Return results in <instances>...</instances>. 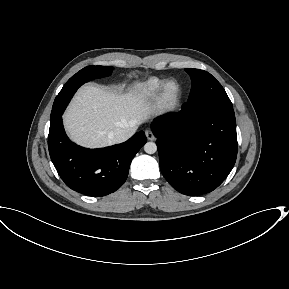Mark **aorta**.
Instances as JSON below:
<instances>
[{"label": "aorta", "instance_id": "aorta-1", "mask_svg": "<svg viewBox=\"0 0 289 289\" xmlns=\"http://www.w3.org/2000/svg\"><path fill=\"white\" fill-rule=\"evenodd\" d=\"M144 151L148 154H154L157 151V145L154 142H147L144 145Z\"/></svg>", "mask_w": 289, "mask_h": 289}]
</instances>
